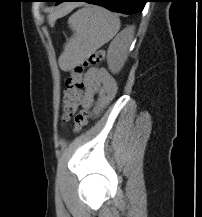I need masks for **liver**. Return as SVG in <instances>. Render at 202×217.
<instances>
[{"label": "liver", "mask_w": 202, "mask_h": 217, "mask_svg": "<svg viewBox=\"0 0 202 217\" xmlns=\"http://www.w3.org/2000/svg\"><path fill=\"white\" fill-rule=\"evenodd\" d=\"M73 8V5H66L65 7L61 8L59 11H56L49 15V19L53 20L58 17H61L62 15L66 14L68 11H70Z\"/></svg>", "instance_id": "liver-1"}]
</instances>
